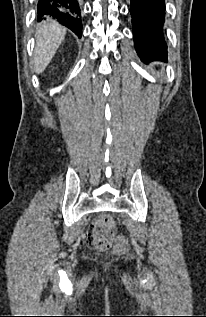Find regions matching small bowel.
I'll return each instance as SVG.
<instances>
[{
  "label": "small bowel",
  "mask_w": 206,
  "mask_h": 317,
  "mask_svg": "<svg viewBox=\"0 0 206 317\" xmlns=\"http://www.w3.org/2000/svg\"><path fill=\"white\" fill-rule=\"evenodd\" d=\"M97 224H98V221H94V222L91 224L89 233L97 226Z\"/></svg>",
  "instance_id": "1"
}]
</instances>
